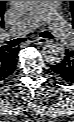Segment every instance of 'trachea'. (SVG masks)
Listing matches in <instances>:
<instances>
[{
  "instance_id": "trachea-1",
  "label": "trachea",
  "mask_w": 74,
  "mask_h": 122,
  "mask_svg": "<svg viewBox=\"0 0 74 122\" xmlns=\"http://www.w3.org/2000/svg\"><path fill=\"white\" fill-rule=\"evenodd\" d=\"M40 36L43 38H48V39L53 38L52 34L48 31L41 32ZM25 41H26V38L21 37V38H17V39L11 40V41H7L6 43L12 47H15V46H17L20 43L25 42Z\"/></svg>"
}]
</instances>
